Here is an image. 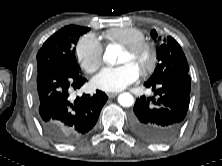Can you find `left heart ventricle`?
<instances>
[{
  "label": "left heart ventricle",
  "instance_id": "1",
  "mask_svg": "<svg viewBox=\"0 0 222 166\" xmlns=\"http://www.w3.org/2000/svg\"><path fill=\"white\" fill-rule=\"evenodd\" d=\"M147 61V56L145 54H140L137 56H132L126 51L123 52V56L121 59V63H127L130 62L134 64L139 70L145 65Z\"/></svg>",
  "mask_w": 222,
  "mask_h": 166
}]
</instances>
